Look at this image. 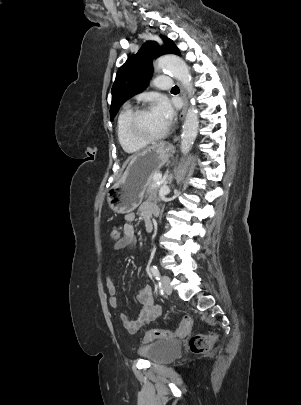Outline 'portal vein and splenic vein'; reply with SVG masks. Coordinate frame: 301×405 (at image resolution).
Here are the masks:
<instances>
[{
    "mask_svg": "<svg viewBox=\"0 0 301 405\" xmlns=\"http://www.w3.org/2000/svg\"><path fill=\"white\" fill-rule=\"evenodd\" d=\"M154 180H155L156 182H163V181H162V174H156V175L154 176Z\"/></svg>",
    "mask_w": 301,
    "mask_h": 405,
    "instance_id": "obj_1",
    "label": "portal vein and splenic vein"
}]
</instances>
